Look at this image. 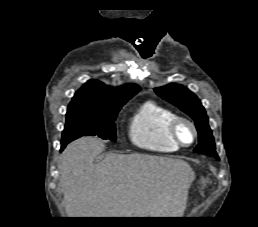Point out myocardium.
<instances>
[{
  "label": "myocardium",
  "mask_w": 258,
  "mask_h": 227,
  "mask_svg": "<svg viewBox=\"0 0 258 227\" xmlns=\"http://www.w3.org/2000/svg\"><path fill=\"white\" fill-rule=\"evenodd\" d=\"M182 125H187L192 130V140L189 143H185L181 140L179 135V129ZM168 131L170 137L176 142L179 147H188L194 144L198 137V131L193 121L186 117L175 116L169 123Z\"/></svg>",
  "instance_id": "f54148a6"
}]
</instances>
